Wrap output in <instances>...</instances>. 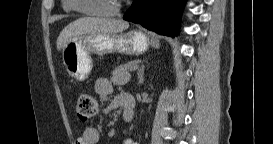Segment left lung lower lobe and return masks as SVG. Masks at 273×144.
Returning a JSON list of instances; mask_svg holds the SVG:
<instances>
[{
	"mask_svg": "<svg viewBox=\"0 0 273 144\" xmlns=\"http://www.w3.org/2000/svg\"><path fill=\"white\" fill-rule=\"evenodd\" d=\"M186 0H134L124 19L156 33L175 37L179 33Z\"/></svg>",
	"mask_w": 273,
	"mask_h": 144,
	"instance_id": "left-lung-lower-lobe-1",
	"label": "left lung lower lobe"
}]
</instances>
